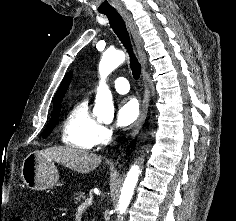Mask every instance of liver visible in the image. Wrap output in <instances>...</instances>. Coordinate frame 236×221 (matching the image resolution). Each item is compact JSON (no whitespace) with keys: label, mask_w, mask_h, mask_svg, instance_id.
<instances>
[{"label":"liver","mask_w":236,"mask_h":221,"mask_svg":"<svg viewBox=\"0 0 236 221\" xmlns=\"http://www.w3.org/2000/svg\"><path fill=\"white\" fill-rule=\"evenodd\" d=\"M40 153L61 165L78 173H88L96 169L102 160L101 156L71 146L46 148Z\"/></svg>","instance_id":"1"}]
</instances>
